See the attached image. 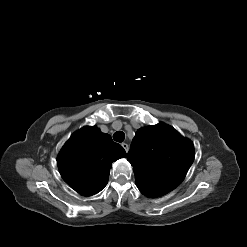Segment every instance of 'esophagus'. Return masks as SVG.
<instances>
[{
    "instance_id": "esophagus-1",
    "label": "esophagus",
    "mask_w": 247,
    "mask_h": 247,
    "mask_svg": "<svg viewBox=\"0 0 247 247\" xmlns=\"http://www.w3.org/2000/svg\"><path fill=\"white\" fill-rule=\"evenodd\" d=\"M121 145H122V147L124 148V150H125L126 152H128V150H129L128 144H127V143H122Z\"/></svg>"
}]
</instances>
